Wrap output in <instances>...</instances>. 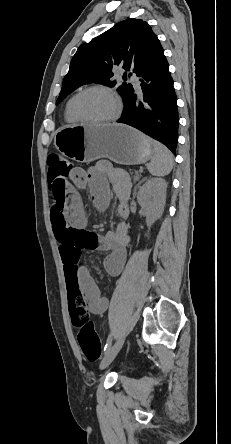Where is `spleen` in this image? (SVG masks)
<instances>
[{"instance_id": "3e777b00", "label": "spleen", "mask_w": 231, "mask_h": 444, "mask_svg": "<svg viewBox=\"0 0 231 444\" xmlns=\"http://www.w3.org/2000/svg\"><path fill=\"white\" fill-rule=\"evenodd\" d=\"M154 155L148 164V171L153 176H166L173 168V155L170 150L158 141H152Z\"/></svg>"}]
</instances>
